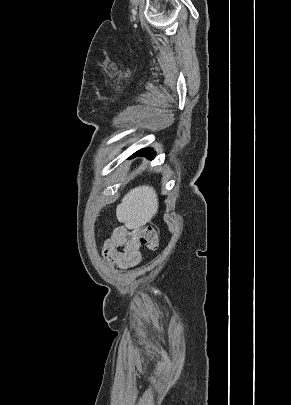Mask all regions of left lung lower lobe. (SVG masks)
<instances>
[{
    "label": "left lung lower lobe",
    "mask_w": 291,
    "mask_h": 405,
    "mask_svg": "<svg viewBox=\"0 0 291 405\" xmlns=\"http://www.w3.org/2000/svg\"><path fill=\"white\" fill-rule=\"evenodd\" d=\"M138 155H143V156H146V157H148L150 159H153L155 157V152L150 148H146V149H142V150L137 151L130 158L136 157Z\"/></svg>",
    "instance_id": "obj_1"
}]
</instances>
